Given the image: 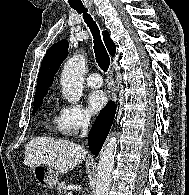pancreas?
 Masks as SVG:
<instances>
[{"instance_id":"1","label":"pancreas","mask_w":189,"mask_h":195,"mask_svg":"<svg viewBox=\"0 0 189 195\" xmlns=\"http://www.w3.org/2000/svg\"><path fill=\"white\" fill-rule=\"evenodd\" d=\"M66 188L67 185L64 182L58 183L56 191L58 193V195H63L64 193H66Z\"/></svg>"}]
</instances>
